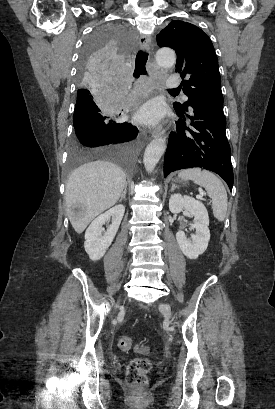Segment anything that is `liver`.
<instances>
[{"instance_id": "1", "label": "liver", "mask_w": 275, "mask_h": 409, "mask_svg": "<svg viewBox=\"0 0 275 409\" xmlns=\"http://www.w3.org/2000/svg\"><path fill=\"white\" fill-rule=\"evenodd\" d=\"M125 184L124 170L108 160L85 162L72 170L66 184L65 202L74 231L80 235L97 215L113 207ZM75 202H82L85 207V215L80 221H72L70 217Z\"/></svg>"}]
</instances>
